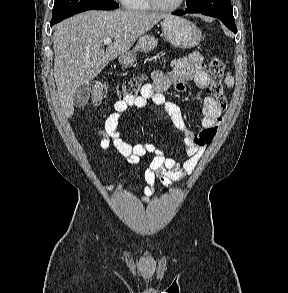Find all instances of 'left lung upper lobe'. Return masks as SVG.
Returning <instances> with one entry per match:
<instances>
[{"mask_svg":"<svg viewBox=\"0 0 288 293\" xmlns=\"http://www.w3.org/2000/svg\"><path fill=\"white\" fill-rule=\"evenodd\" d=\"M187 9L234 19L230 0H187Z\"/></svg>","mask_w":288,"mask_h":293,"instance_id":"1","label":"left lung upper lobe"}]
</instances>
